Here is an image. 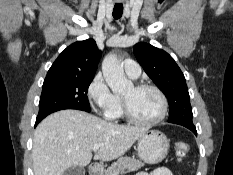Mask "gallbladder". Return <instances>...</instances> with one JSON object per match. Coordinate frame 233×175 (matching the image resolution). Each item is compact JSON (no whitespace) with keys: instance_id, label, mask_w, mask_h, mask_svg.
Masks as SVG:
<instances>
[{"instance_id":"1","label":"gallbladder","mask_w":233,"mask_h":175,"mask_svg":"<svg viewBox=\"0 0 233 175\" xmlns=\"http://www.w3.org/2000/svg\"><path fill=\"white\" fill-rule=\"evenodd\" d=\"M63 175H85V169L81 166H73L67 169Z\"/></svg>"}]
</instances>
